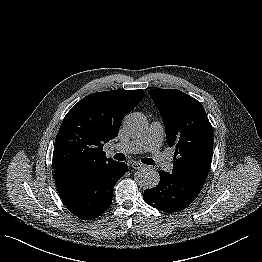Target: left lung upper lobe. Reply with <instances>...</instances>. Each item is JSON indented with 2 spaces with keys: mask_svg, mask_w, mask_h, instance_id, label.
<instances>
[{
  "mask_svg": "<svg viewBox=\"0 0 262 262\" xmlns=\"http://www.w3.org/2000/svg\"><path fill=\"white\" fill-rule=\"evenodd\" d=\"M166 131V142L175 148L173 174L204 185L213 156V128L202 104L176 89L148 91Z\"/></svg>",
  "mask_w": 262,
  "mask_h": 262,
  "instance_id": "5c2ea615",
  "label": "left lung upper lobe"
}]
</instances>
